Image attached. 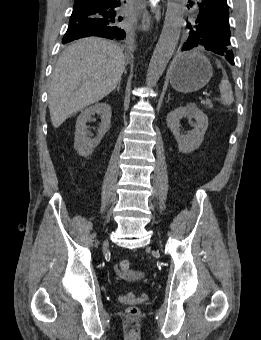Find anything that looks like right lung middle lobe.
Segmentation results:
<instances>
[{"label": "right lung middle lobe", "instance_id": "dd1d6c3e", "mask_svg": "<svg viewBox=\"0 0 261 340\" xmlns=\"http://www.w3.org/2000/svg\"><path fill=\"white\" fill-rule=\"evenodd\" d=\"M124 24L123 23H120L118 22L116 24V28H117V33H119V36L121 37H125L126 36V32H125V29H124ZM79 38H83L82 35L80 34H71V35H64L63 37V40L62 42L65 44V43H69L73 40H76V39H79Z\"/></svg>", "mask_w": 261, "mask_h": 340}]
</instances>
